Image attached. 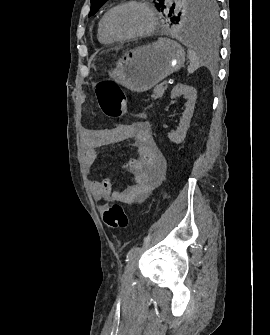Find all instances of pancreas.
Returning <instances> with one entry per match:
<instances>
[{"instance_id":"1","label":"pancreas","mask_w":270,"mask_h":335,"mask_svg":"<svg viewBox=\"0 0 270 335\" xmlns=\"http://www.w3.org/2000/svg\"><path fill=\"white\" fill-rule=\"evenodd\" d=\"M166 88H164L163 84H159V86H156L153 90V94L151 98H154V100H158V98H162Z\"/></svg>"}]
</instances>
